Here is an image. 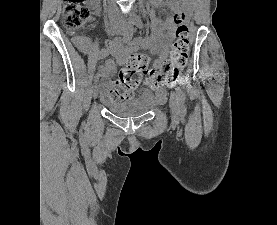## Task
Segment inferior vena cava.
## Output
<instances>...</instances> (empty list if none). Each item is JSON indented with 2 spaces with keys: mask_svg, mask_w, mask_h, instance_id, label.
<instances>
[{
  "mask_svg": "<svg viewBox=\"0 0 277 225\" xmlns=\"http://www.w3.org/2000/svg\"><path fill=\"white\" fill-rule=\"evenodd\" d=\"M118 18H119V20H120L121 22H123L122 17H121L120 14H118Z\"/></svg>",
  "mask_w": 277,
  "mask_h": 225,
  "instance_id": "inferior-vena-cava-1",
  "label": "inferior vena cava"
}]
</instances>
